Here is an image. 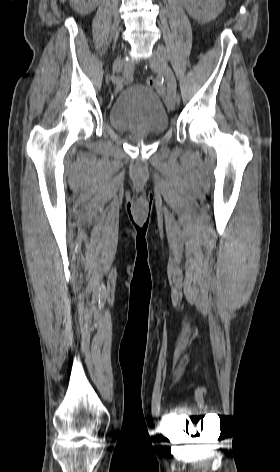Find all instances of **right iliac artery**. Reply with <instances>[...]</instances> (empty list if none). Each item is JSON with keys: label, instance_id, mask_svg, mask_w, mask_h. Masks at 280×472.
<instances>
[{"label": "right iliac artery", "instance_id": "obj_1", "mask_svg": "<svg viewBox=\"0 0 280 472\" xmlns=\"http://www.w3.org/2000/svg\"><path fill=\"white\" fill-rule=\"evenodd\" d=\"M134 62L133 60H127L124 70V76L126 81H130L133 78Z\"/></svg>", "mask_w": 280, "mask_h": 472}]
</instances>
